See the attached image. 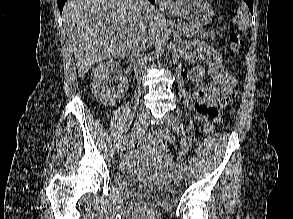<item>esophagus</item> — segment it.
Here are the masks:
<instances>
[{
  "label": "esophagus",
  "instance_id": "esophagus-1",
  "mask_svg": "<svg viewBox=\"0 0 293 219\" xmlns=\"http://www.w3.org/2000/svg\"><path fill=\"white\" fill-rule=\"evenodd\" d=\"M156 2H157L158 4H165V3H166L165 0H156Z\"/></svg>",
  "mask_w": 293,
  "mask_h": 219
}]
</instances>
